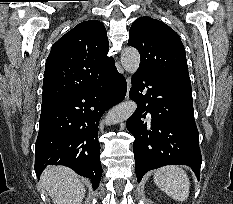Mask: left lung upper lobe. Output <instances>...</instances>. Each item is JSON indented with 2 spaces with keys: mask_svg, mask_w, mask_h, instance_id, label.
<instances>
[{
  "mask_svg": "<svg viewBox=\"0 0 233 204\" xmlns=\"http://www.w3.org/2000/svg\"><path fill=\"white\" fill-rule=\"evenodd\" d=\"M128 45L140 53L138 71L191 86L184 46L178 34L165 23L150 17L138 18L130 28Z\"/></svg>",
  "mask_w": 233,
  "mask_h": 204,
  "instance_id": "5c2ea615",
  "label": "left lung upper lobe"
}]
</instances>
